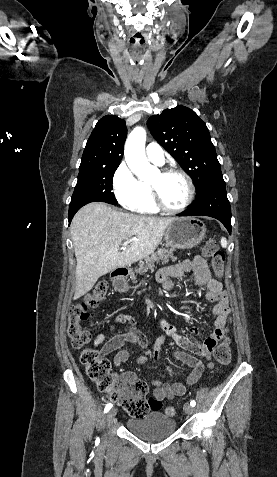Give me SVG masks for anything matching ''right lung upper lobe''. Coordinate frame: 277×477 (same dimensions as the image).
<instances>
[{
	"label": "right lung upper lobe",
	"mask_w": 277,
	"mask_h": 477,
	"mask_svg": "<svg viewBox=\"0 0 277 477\" xmlns=\"http://www.w3.org/2000/svg\"><path fill=\"white\" fill-rule=\"evenodd\" d=\"M126 136L124 119L115 115L101 118L87 141L79 170L119 166Z\"/></svg>",
	"instance_id": "right-lung-upper-lobe-1"
}]
</instances>
